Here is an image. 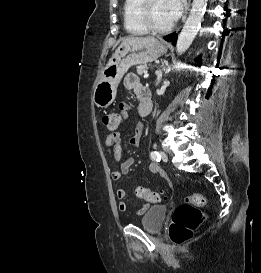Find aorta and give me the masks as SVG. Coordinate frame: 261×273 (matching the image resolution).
<instances>
[{
    "label": "aorta",
    "instance_id": "obj_1",
    "mask_svg": "<svg viewBox=\"0 0 261 273\" xmlns=\"http://www.w3.org/2000/svg\"><path fill=\"white\" fill-rule=\"evenodd\" d=\"M208 0H193L192 9L176 43L177 55H182L192 44L206 10Z\"/></svg>",
    "mask_w": 261,
    "mask_h": 273
}]
</instances>
